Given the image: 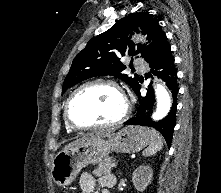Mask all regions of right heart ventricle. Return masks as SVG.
Wrapping results in <instances>:
<instances>
[{
    "label": "right heart ventricle",
    "mask_w": 221,
    "mask_h": 193,
    "mask_svg": "<svg viewBox=\"0 0 221 193\" xmlns=\"http://www.w3.org/2000/svg\"><path fill=\"white\" fill-rule=\"evenodd\" d=\"M67 123V122H66ZM66 129L69 133L75 132V129L71 128L68 124H66Z\"/></svg>",
    "instance_id": "right-heart-ventricle-1"
}]
</instances>
